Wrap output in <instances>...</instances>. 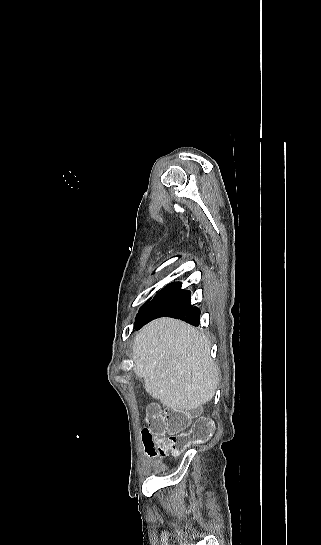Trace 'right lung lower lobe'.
Masks as SVG:
<instances>
[{
    "label": "right lung lower lobe",
    "instance_id": "98d812e1",
    "mask_svg": "<svg viewBox=\"0 0 321 545\" xmlns=\"http://www.w3.org/2000/svg\"><path fill=\"white\" fill-rule=\"evenodd\" d=\"M191 292L181 289L180 282L168 284L160 290L146 309L136 319L135 329H140L153 319L167 316L199 325L200 309L191 307Z\"/></svg>",
    "mask_w": 321,
    "mask_h": 545
}]
</instances>
